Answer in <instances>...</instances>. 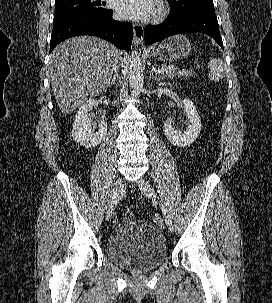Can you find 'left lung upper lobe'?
I'll return each instance as SVG.
<instances>
[{
    "label": "left lung upper lobe",
    "mask_w": 272,
    "mask_h": 303,
    "mask_svg": "<svg viewBox=\"0 0 272 303\" xmlns=\"http://www.w3.org/2000/svg\"><path fill=\"white\" fill-rule=\"evenodd\" d=\"M171 6L169 17L187 13L215 12L212 0H168Z\"/></svg>",
    "instance_id": "obj_1"
}]
</instances>
